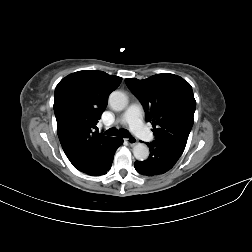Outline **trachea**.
<instances>
[{
	"label": "trachea",
	"mask_w": 252,
	"mask_h": 252,
	"mask_svg": "<svg viewBox=\"0 0 252 252\" xmlns=\"http://www.w3.org/2000/svg\"><path fill=\"white\" fill-rule=\"evenodd\" d=\"M108 136H120L122 138H130L131 135L126 129L117 130L116 128H110L104 133Z\"/></svg>",
	"instance_id": "obj_1"
}]
</instances>
